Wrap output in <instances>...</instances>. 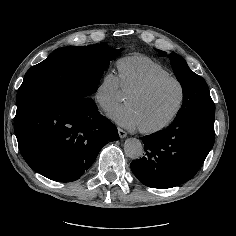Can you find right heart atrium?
<instances>
[{
    "label": "right heart atrium",
    "mask_w": 236,
    "mask_h": 236,
    "mask_svg": "<svg viewBox=\"0 0 236 236\" xmlns=\"http://www.w3.org/2000/svg\"><path fill=\"white\" fill-rule=\"evenodd\" d=\"M125 97L119 75L110 70L104 73L93 90V99L105 112H111Z\"/></svg>",
    "instance_id": "1"
}]
</instances>
